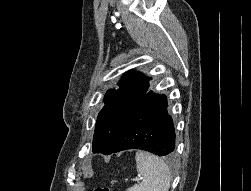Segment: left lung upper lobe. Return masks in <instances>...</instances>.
I'll return each mask as SVG.
<instances>
[{
	"instance_id": "left-lung-upper-lobe-1",
	"label": "left lung upper lobe",
	"mask_w": 251,
	"mask_h": 191,
	"mask_svg": "<svg viewBox=\"0 0 251 191\" xmlns=\"http://www.w3.org/2000/svg\"><path fill=\"white\" fill-rule=\"evenodd\" d=\"M119 88L109 89L104 107L97 117L93 137V152L108 154L136 104L148 92L149 78L141 73H126Z\"/></svg>"
}]
</instances>
